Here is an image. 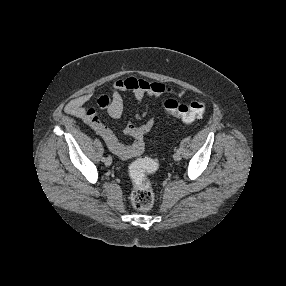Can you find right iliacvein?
Returning <instances> with one entry per match:
<instances>
[{
	"instance_id": "obj_1",
	"label": "right iliac vein",
	"mask_w": 286,
	"mask_h": 286,
	"mask_svg": "<svg viewBox=\"0 0 286 286\" xmlns=\"http://www.w3.org/2000/svg\"><path fill=\"white\" fill-rule=\"evenodd\" d=\"M112 164V158L111 157H108L106 160H105V165L106 166H110Z\"/></svg>"
}]
</instances>
